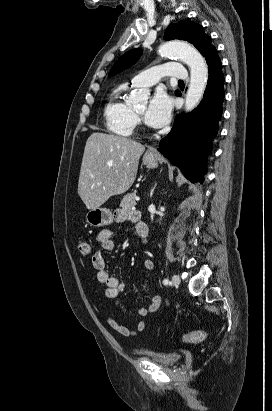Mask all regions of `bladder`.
<instances>
[{
	"instance_id": "1",
	"label": "bladder",
	"mask_w": 272,
	"mask_h": 411,
	"mask_svg": "<svg viewBox=\"0 0 272 411\" xmlns=\"http://www.w3.org/2000/svg\"><path fill=\"white\" fill-rule=\"evenodd\" d=\"M143 356L153 363L165 365L169 367L176 366L182 359V355L178 352H174V353L145 352Z\"/></svg>"
}]
</instances>
